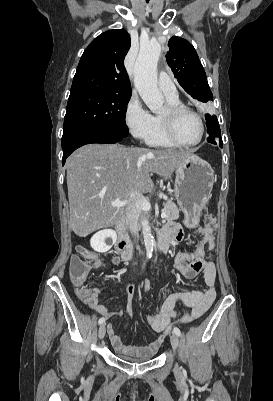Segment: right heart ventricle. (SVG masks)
<instances>
[{
  "mask_svg": "<svg viewBox=\"0 0 273 401\" xmlns=\"http://www.w3.org/2000/svg\"><path fill=\"white\" fill-rule=\"evenodd\" d=\"M167 98L169 104H178L181 103L177 96L173 98ZM146 143L150 146L154 147H165V148H177L179 145L172 142L166 135L164 128L161 123L160 116H153V125L152 130L148 137L145 139Z\"/></svg>",
  "mask_w": 273,
  "mask_h": 401,
  "instance_id": "1",
  "label": "right heart ventricle"
}]
</instances>
